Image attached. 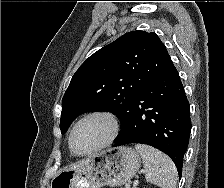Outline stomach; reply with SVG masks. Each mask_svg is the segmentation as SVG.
I'll use <instances>...</instances> for the list:
<instances>
[{
	"instance_id": "1",
	"label": "stomach",
	"mask_w": 224,
	"mask_h": 188,
	"mask_svg": "<svg viewBox=\"0 0 224 188\" xmlns=\"http://www.w3.org/2000/svg\"><path fill=\"white\" fill-rule=\"evenodd\" d=\"M141 158L131 147L109 148L76 168L59 172L49 188H100L121 186L139 170Z\"/></svg>"
}]
</instances>
